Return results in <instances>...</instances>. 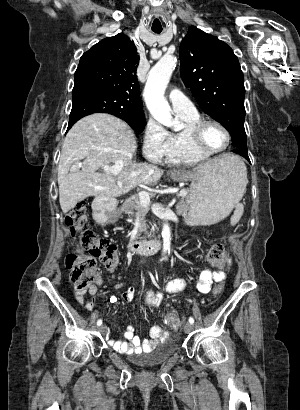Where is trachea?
Wrapping results in <instances>:
<instances>
[{"instance_id": "obj_1", "label": "trachea", "mask_w": 300, "mask_h": 410, "mask_svg": "<svg viewBox=\"0 0 300 410\" xmlns=\"http://www.w3.org/2000/svg\"><path fill=\"white\" fill-rule=\"evenodd\" d=\"M152 31L156 34H160L162 32V29H152Z\"/></svg>"}]
</instances>
